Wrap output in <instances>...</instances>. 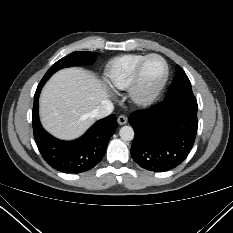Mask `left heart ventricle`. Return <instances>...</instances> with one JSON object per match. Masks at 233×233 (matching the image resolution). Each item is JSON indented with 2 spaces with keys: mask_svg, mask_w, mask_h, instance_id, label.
I'll return each mask as SVG.
<instances>
[{
  "mask_svg": "<svg viewBox=\"0 0 233 233\" xmlns=\"http://www.w3.org/2000/svg\"><path fill=\"white\" fill-rule=\"evenodd\" d=\"M165 72L163 62L158 58H151L145 65L142 73V84L146 88L157 85Z\"/></svg>",
  "mask_w": 233,
  "mask_h": 233,
  "instance_id": "b2bd125f",
  "label": "left heart ventricle"
}]
</instances>
